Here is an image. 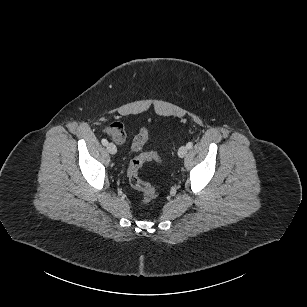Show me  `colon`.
I'll use <instances>...</instances> for the list:
<instances>
[{
    "instance_id": "obj_1",
    "label": "colon",
    "mask_w": 307,
    "mask_h": 307,
    "mask_svg": "<svg viewBox=\"0 0 307 307\" xmlns=\"http://www.w3.org/2000/svg\"><path fill=\"white\" fill-rule=\"evenodd\" d=\"M155 160L162 161V158L156 153H145L134 158L129 165L127 176L130 185L142 193V202L148 203L154 200L157 195V189L154 185L143 181L139 177V169L145 161Z\"/></svg>"
}]
</instances>
